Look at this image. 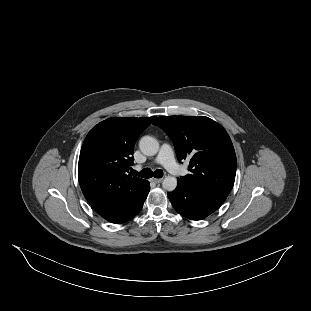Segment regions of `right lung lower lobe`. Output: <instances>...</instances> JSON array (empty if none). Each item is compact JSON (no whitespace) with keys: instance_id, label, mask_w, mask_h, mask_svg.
<instances>
[{"instance_id":"right-lung-lower-lobe-1","label":"right lung lower lobe","mask_w":311,"mask_h":311,"mask_svg":"<svg viewBox=\"0 0 311 311\" xmlns=\"http://www.w3.org/2000/svg\"><path fill=\"white\" fill-rule=\"evenodd\" d=\"M150 185L149 182L146 184L144 188V192L134 201V203L127 209V211L120 217L116 218L114 221H110L115 224L124 223L135 215H137L143 207V203L149 193Z\"/></svg>"}]
</instances>
